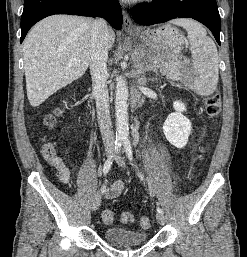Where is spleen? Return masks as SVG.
Returning a JSON list of instances; mask_svg holds the SVG:
<instances>
[{
  "mask_svg": "<svg viewBox=\"0 0 247 257\" xmlns=\"http://www.w3.org/2000/svg\"><path fill=\"white\" fill-rule=\"evenodd\" d=\"M183 27L188 34L192 65L194 72V88L203 96L212 94L218 83V52L213 40L207 36L206 30L191 19L181 18L171 21Z\"/></svg>",
  "mask_w": 247,
  "mask_h": 257,
  "instance_id": "1",
  "label": "spleen"
}]
</instances>
